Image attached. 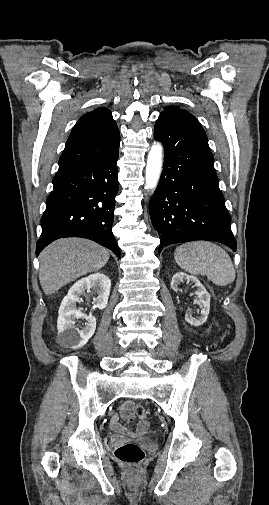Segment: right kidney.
Returning a JSON list of instances; mask_svg holds the SVG:
<instances>
[{
	"label": "right kidney",
	"instance_id": "ca27d5eb",
	"mask_svg": "<svg viewBox=\"0 0 269 505\" xmlns=\"http://www.w3.org/2000/svg\"><path fill=\"white\" fill-rule=\"evenodd\" d=\"M110 288V279L103 273H95L78 280L69 289L60 305L57 320L58 338L61 344L78 349L88 342L96 330V318L91 314L87 316L77 309L76 303L79 302L81 295L92 289L98 295L95 307L104 309L108 303ZM79 318L86 319L84 327H76L75 323Z\"/></svg>",
	"mask_w": 269,
	"mask_h": 505
}]
</instances>
